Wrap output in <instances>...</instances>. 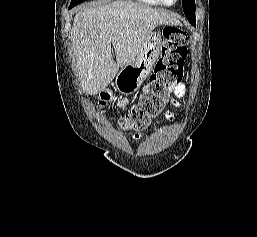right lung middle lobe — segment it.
I'll use <instances>...</instances> for the list:
<instances>
[{
    "instance_id": "obj_1",
    "label": "right lung middle lobe",
    "mask_w": 257,
    "mask_h": 237,
    "mask_svg": "<svg viewBox=\"0 0 257 237\" xmlns=\"http://www.w3.org/2000/svg\"><path fill=\"white\" fill-rule=\"evenodd\" d=\"M86 0H71L70 6L71 8H73L74 6H76L77 4L84 2Z\"/></svg>"
}]
</instances>
